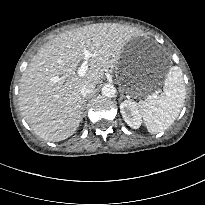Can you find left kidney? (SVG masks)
Masks as SVG:
<instances>
[{"instance_id": "5707ae66", "label": "left kidney", "mask_w": 205, "mask_h": 205, "mask_svg": "<svg viewBox=\"0 0 205 205\" xmlns=\"http://www.w3.org/2000/svg\"><path fill=\"white\" fill-rule=\"evenodd\" d=\"M120 112L124 121L133 129H138L142 124L140 110L136 102L126 100L120 104Z\"/></svg>"}]
</instances>
